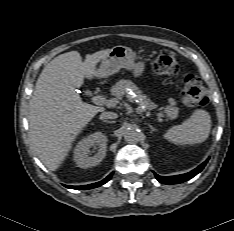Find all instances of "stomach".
<instances>
[{
    "instance_id": "0dacf381",
    "label": "stomach",
    "mask_w": 234,
    "mask_h": 231,
    "mask_svg": "<svg viewBox=\"0 0 234 231\" xmlns=\"http://www.w3.org/2000/svg\"><path fill=\"white\" fill-rule=\"evenodd\" d=\"M132 71L134 77H140L145 69L144 62L135 63V54L131 48L126 46H115L111 49L106 58L101 60L97 69V77L107 78L120 69Z\"/></svg>"
}]
</instances>
